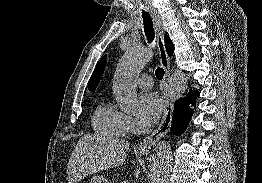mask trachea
Wrapping results in <instances>:
<instances>
[{
  "label": "trachea",
  "instance_id": "obj_1",
  "mask_svg": "<svg viewBox=\"0 0 262 183\" xmlns=\"http://www.w3.org/2000/svg\"><path fill=\"white\" fill-rule=\"evenodd\" d=\"M144 32L149 43H152L155 38V32L153 27V22L147 12H142ZM157 79L161 80L164 76V69L158 67L155 71Z\"/></svg>",
  "mask_w": 262,
  "mask_h": 183
}]
</instances>
